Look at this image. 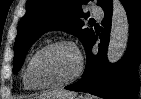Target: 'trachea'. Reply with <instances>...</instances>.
<instances>
[{
	"instance_id": "trachea-1",
	"label": "trachea",
	"mask_w": 141,
	"mask_h": 99,
	"mask_svg": "<svg viewBox=\"0 0 141 99\" xmlns=\"http://www.w3.org/2000/svg\"><path fill=\"white\" fill-rule=\"evenodd\" d=\"M91 22H95V20L92 19Z\"/></svg>"
}]
</instances>
